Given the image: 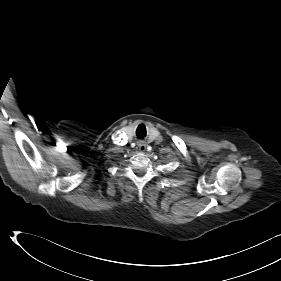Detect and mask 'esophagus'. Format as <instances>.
Instances as JSON below:
<instances>
[{"mask_svg":"<svg viewBox=\"0 0 281 281\" xmlns=\"http://www.w3.org/2000/svg\"><path fill=\"white\" fill-rule=\"evenodd\" d=\"M137 145H138V148H139V150H140L141 152L145 151V149H146V144L140 142V143H138Z\"/></svg>","mask_w":281,"mask_h":281,"instance_id":"1","label":"esophagus"}]
</instances>
